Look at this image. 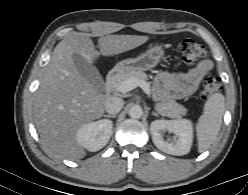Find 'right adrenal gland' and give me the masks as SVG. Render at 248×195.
Returning a JSON list of instances; mask_svg holds the SVG:
<instances>
[{
  "instance_id": "obj_1",
  "label": "right adrenal gland",
  "mask_w": 248,
  "mask_h": 195,
  "mask_svg": "<svg viewBox=\"0 0 248 195\" xmlns=\"http://www.w3.org/2000/svg\"><path fill=\"white\" fill-rule=\"evenodd\" d=\"M103 116L107 117V118H115L116 117V115H110V114H108V115L104 114Z\"/></svg>"
}]
</instances>
